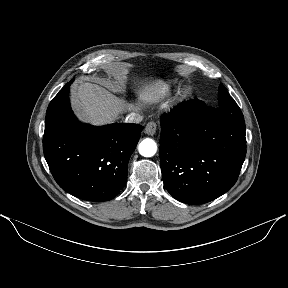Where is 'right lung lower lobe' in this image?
I'll list each match as a JSON object with an SVG mask.
<instances>
[{"instance_id":"1","label":"right lung lower lobe","mask_w":288,"mask_h":288,"mask_svg":"<svg viewBox=\"0 0 288 288\" xmlns=\"http://www.w3.org/2000/svg\"><path fill=\"white\" fill-rule=\"evenodd\" d=\"M68 82L50 102L45 117L43 151L58 185L88 201H108L127 182L129 158L143 126L119 123L93 127L72 113Z\"/></svg>"}]
</instances>
